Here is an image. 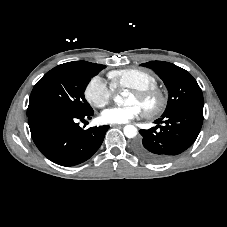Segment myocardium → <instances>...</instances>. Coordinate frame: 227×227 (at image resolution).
I'll list each match as a JSON object with an SVG mask.
<instances>
[{
    "label": "myocardium",
    "mask_w": 227,
    "mask_h": 227,
    "mask_svg": "<svg viewBox=\"0 0 227 227\" xmlns=\"http://www.w3.org/2000/svg\"><path fill=\"white\" fill-rule=\"evenodd\" d=\"M132 94L146 105L142 110L147 117H156L166 108L167 97L165 93L157 87L144 90H132Z\"/></svg>",
    "instance_id": "1"
}]
</instances>
